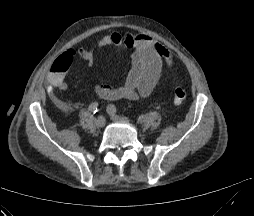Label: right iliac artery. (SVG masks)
I'll use <instances>...</instances> for the list:
<instances>
[{
  "label": "right iliac artery",
  "instance_id": "1",
  "mask_svg": "<svg viewBox=\"0 0 254 216\" xmlns=\"http://www.w3.org/2000/svg\"><path fill=\"white\" fill-rule=\"evenodd\" d=\"M88 110L91 112V113H96L98 111V103L97 102H93L89 105V108Z\"/></svg>",
  "mask_w": 254,
  "mask_h": 216
}]
</instances>
